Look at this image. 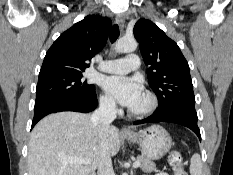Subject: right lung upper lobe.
Returning <instances> with one entry per match:
<instances>
[{
  "label": "right lung upper lobe",
  "instance_id": "right-lung-upper-lobe-1",
  "mask_svg": "<svg viewBox=\"0 0 233 175\" xmlns=\"http://www.w3.org/2000/svg\"><path fill=\"white\" fill-rule=\"evenodd\" d=\"M111 24L109 18L88 15L63 32L47 51L39 78L84 72L87 61L105 46Z\"/></svg>",
  "mask_w": 233,
  "mask_h": 175
}]
</instances>
